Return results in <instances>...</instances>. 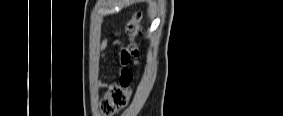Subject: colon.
I'll return each instance as SVG.
<instances>
[{
  "mask_svg": "<svg viewBox=\"0 0 283 116\" xmlns=\"http://www.w3.org/2000/svg\"><path fill=\"white\" fill-rule=\"evenodd\" d=\"M140 30V17L135 16L126 25L127 35L133 39ZM128 58L132 57L135 60L139 58V48L134 42H131L125 49ZM132 75L121 76L118 82H113L107 85L103 96L100 100V111L103 115H112L123 107H125L131 96Z\"/></svg>",
  "mask_w": 283,
  "mask_h": 116,
  "instance_id": "1",
  "label": "colon"
}]
</instances>
